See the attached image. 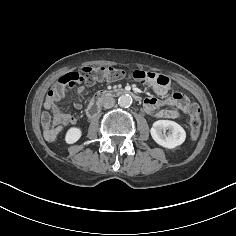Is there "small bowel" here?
<instances>
[{"label": "small bowel", "mask_w": 236, "mask_h": 236, "mask_svg": "<svg viewBox=\"0 0 236 236\" xmlns=\"http://www.w3.org/2000/svg\"><path fill=\"white\" fill-rule=\"evenodd\" d=\"M144 73L148 75L144 83L148 84L158 96L164 97L168 94L171 89V81L167 76L152 72ZM76 94L77 98L75 99L74 107L80 110L82 108L84 88L79 87ZM58 101L59 98L51 94L44 102L45 111L42 114L41 120L44 129V137L49 142H54L65 127L76 123V119L73 115L63 112L60 109ZM189 105V99L180 92L173 93L171 97L164 101H160L154 97H148L144 100V108L148 114L164 119L180 118L182 114L188 113Z\"/></svg>", "instance_id": "obj_1"}]
</instances>
